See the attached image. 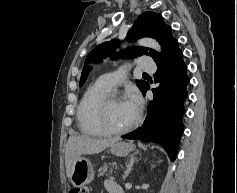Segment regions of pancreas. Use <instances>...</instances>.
<instances>
[{"instance_id":"obj_1","label":"pancreas","mask_w":237,"mask_h":193,"mask_svg":"<svg viewBox=\"0 0 237 193\" xmlns=\"http://www.w3.org/2000/svg\"><path fill=\"white\" fill-rule=\"evenodd\" d=\"M111 165V167L109 166ZM104 164L100 169H99V175L98 176H104V175H107V174H112L113 170H112V167H113V163L112 164Z\"/></svg>"}]
</instances>
